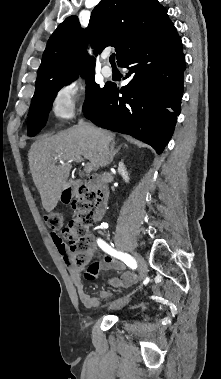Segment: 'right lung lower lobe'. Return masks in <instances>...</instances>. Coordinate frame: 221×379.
<instances>
[{
  "label": "right lung lower lobe",
  "mask_w": 221,
  "mask_h": 379,
  "mask_svg": "<svg viewBox=\"0 0 221 379\" xmlns=\"http://www.w3.org/2000/svg\"><path fill=\"white\" fill-rule=\"evenodd\" d=\"M118 65L129 70L125 78L130 82L121 89L108 84L84 115L99 127L142 140L160 154L173 134L183 93L185 61L174 24L125 54Z\"/></svg>",
  "instance_id": "obj_1"
}]
</instances>
